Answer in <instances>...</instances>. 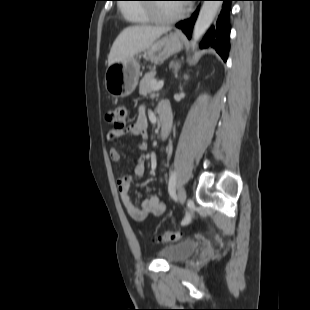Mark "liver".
Returning a JSON list of instances; mask_svg holds the SVG:
<instances>
[{
  "label": "liver",
  "instance_id": "liver-1",
  "mask_svg": "<svg viewBox=\"0 0 310 310\" xmlns=\"http://www.w3.org/2000/svg\"><path fill=\"white\" fill-rule=\"evenodd\" d=\"M170 27L132 26L125 28L115 39L108 55V66L125 61L145 51L162 34L170 31Z\"/></svg>",
  "mask_w": 310,
  "mask_h": 310
}]
</instances>
